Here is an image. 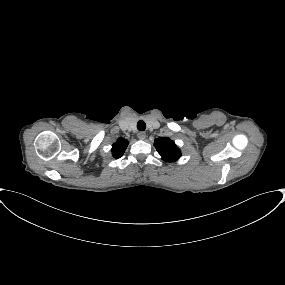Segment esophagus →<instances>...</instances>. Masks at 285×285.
Listing matches in <instances>:
<instances>
[{"mask_svg":"<svg viewBox=\"0 0 285 285\" xmlns=\"http://www.w3.org/2000/svg\"><path fill=\"white\" fill-rule=\"evenodd\" d=\"M137 137L140 139V140H144L146 138V133L141 131L138 133Z\"/></svg>","mask_w":285,"mask_h":285,"instance_id":"1","label":"esophagus"}]
</instances>
